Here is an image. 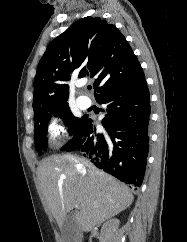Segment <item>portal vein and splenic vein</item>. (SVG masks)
Masks as SVG:
<instances>
[{
	"label": "portal vein and splenic vein",
	"mask_w": 187,
	"mask_h": 242,
	"mask_svg": "<svg viewBox=\"0 0 187 242\" xmlns=\"http://www.w3.org/2000/svg\"><path fill=\"white\" fill-rule=\"evenodd\" d=\"M75 206H76L77 208H79V205H78V203H77V202L75 203Z\"/></svg>",
	"instance_id": "1"
}]
</instances>
